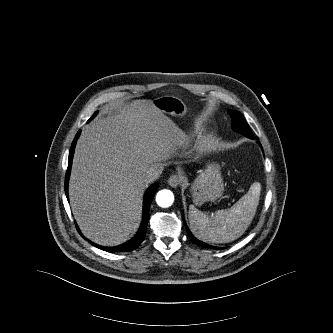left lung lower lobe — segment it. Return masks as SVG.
Masks as SVG:
<instances>
[{
	"mask_svg": "<svg viewBox=\"0 0 333 333\" xmlns=\"http://www.w3.org/2000/svg\"><path fill=\"white\" fill-rule=\"evenodd\" d=\"M185 227H186V230H187V232H188V235H189V237L191 238V240L195 243V244H197V245H199V246H202V247H212V248H214V249H222V248H220V247H213V246H210V245H208V244H206V243H204V242H202V241H199L198 239H196L192 234H191V232H190V230L188 229V227H187V225L185 224Z\"/></svg>",
	"mask_w": 333,
	"mask_h": 333,
	"instance_id": "left-lung-lower-lobe-1",
	"label": "left lung lower lobe"
}]
</instances>
